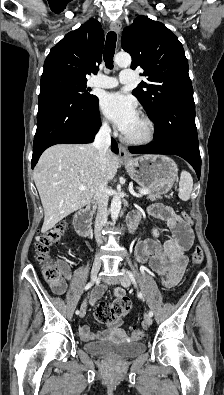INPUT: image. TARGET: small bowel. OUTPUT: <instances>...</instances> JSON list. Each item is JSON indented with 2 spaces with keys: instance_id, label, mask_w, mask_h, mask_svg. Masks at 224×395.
Returning <instances> with one entry per match:
<instances>
[{
  "instance_id": "c3829d8e",
  "label": "small bowel",
  "mask_w": 224,
  "mask_h": 395,
  "mask_svg": "<svg viewBox=\"0 0 224 395\" xmlns=\"http://www.w3.org/2000/svg\"><path fill=\"white\" fill-rule=\"evenodd\" d=\"M149 211L161 219L166 227L174 232V236L163 244L151 239L141 241L135 248V255L140 263L149 264L152 271L160 277V281L165 288L171 289L179 283L186 268L187 257L185 253L191 245V234L189 228L183 230V220L170 207L153 205ZM63 269L64 277L58 282L49 283L50 289L58 295L65 292L66 280L71 278L70 269L65 265ZM103 291V285L96 287L92 292L91 302H96ZM115 294L123 296L124 291L121 288H117ZM121 324L122 321L120 319L107 324V333L118 329ZM79 332L84 339H93L95 337L87 325H81Z\"/></svg>"
}]
</instances>
